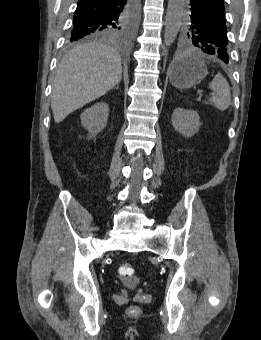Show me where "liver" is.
I'll list each match as a JSON object with an SVG mask.
<instances>
[{
    "label": "liver",
    "mask_w": 261,
    "mask_h": 340,
    "mask_svg": "<svg viewBox=\"0 0 261 340\" xmlns=\"http://www.w3.org/2000/svg\"><path fill=\"white\" fill-rule=\"evenodd\" d=\"M121 78V56L113 47L97 42L74 47L57 68L51 101L55 122L106 94Z\"/></svg>",
    "instance_id": "liver-1"
}]
</instances>
